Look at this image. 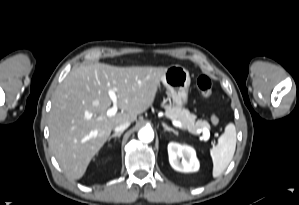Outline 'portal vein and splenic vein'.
<instances>
[{"label": "portal vein and splenic vein", "mask_w": 299, "mask_h": 205, "mask_svg": "<svg viewBox=\"0 0 299 205\" xmlns=\"http://www.w3.org/2000/svg\"><path fill=\"white\" fill-rule=\"evenodd\" d=\"M108 95H109L110 99H111L112 102H113V106L107 110L106 114H107L108 117H112V116H114V115L117 113V111H118V106H117V95H116V93H115L113 90H109ZM172 123H173V125H174L175 127L182 128V123H181V122H179V121H177V120H173ZM204 135H205V137L208 138V137H209V131L204 130Z\"/></svg>", "instance_id": "1"}]
</instances>
